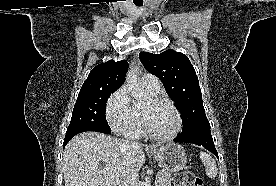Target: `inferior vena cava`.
Here are the masks:
<instances>
[{
  "label": "inferior vena cava",
  "instance_id": "1",
  "mask_svg": "<svg viewBox=\"0 0 276 186\" xmlns=\"http://www.w3.org/2000/svg\"><path fill=\"white\" fill-rule=\"evenodd\" d=\"M125 145L137 144L136 142H130L128 140H123ZM138 175H130L127 180L122 184V186H138Z\"/></svg>",
  "mask_w": 276,
  "mask_h": 186
}]
</instances>
